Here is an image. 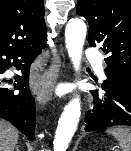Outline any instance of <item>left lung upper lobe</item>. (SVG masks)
<instances>
[{
	"instance_id": "obj_1",
	"label": "left lung upper lobe",
	"mask_w": 131,
	"mask_h": 151,
	"mask_svg": "<svg viewBox=\"0 0 131 151\" xmlns=\"http://www.w3.org/2000/svg\"><path fill=\"white\" fill-rule=\"evenodd\" d=\"M76 13L89 23V45L106 54V70L131 80V1L78 0Z\"/></svg>"
}]
</instances>
